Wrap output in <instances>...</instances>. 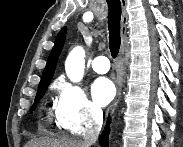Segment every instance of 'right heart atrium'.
<instances>
[{"label": "right heart atrium", "instance_id": "obj_1", "mask_svg": "<svg viewBox=\"0 0 183 147\" xmlns=\"http://www.w3.org/2000/svg\"><path fill=\"white\" fill-rule=\"evenodd\" d=\"M57 91L55 117L63 129L82 134L100 122L101 110L88 99L81 86L60 81Z\"/></svg>", "mask_w": 183, "mask_h": 147}]
</instances>
